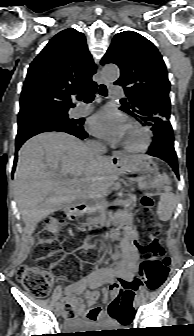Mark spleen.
Returning a JSON list of instances; mask_svg holds the SVG:
<instances>
[{"label": "spleen", "instance_id": "3e777b00", "mask_svg": "<svg viewBox=\"0 0 194 336\" xmlns=\"http://www.w3.org/2000/svg\"><path fill=\"white\" fill-rule=\"evenodd\" d=\"M163 180L166 186L158 204V215L162 221H168L172 216L177 199L172 193L171 183L166 174L163 175Z\"/></svg>", "mask_w": 194, "mask_h": 336}]
</instances>
